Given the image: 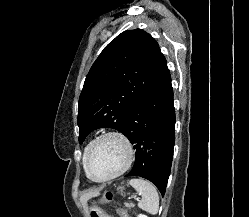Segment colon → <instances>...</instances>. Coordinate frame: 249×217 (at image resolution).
<instances>
[{
    "label": "colon",
    "instance_id": "5ec220e1",
    "mask_svg": "<svg viewBox=\"0 0 249 217\" xmlns=\"http://www.w3.org/2000/svg\"><path fill=\"white\" fill-rule=\"evenodd\" d=\"M111 199H112V193L110 191H107L104 193L101 201L108 202ZM117 213L119 214L120 217H129L127 211L124 209H118Z\"/></svg>",
    "mask_w": 249,
    "mask_h": 217
}]
</instances>
